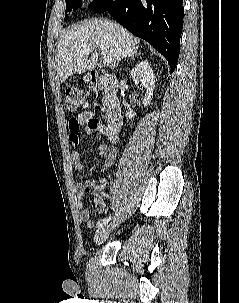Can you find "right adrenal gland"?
Returning <instances> with one entry per match:
<instances>
[{"instance_id":"1","label":"right adrenal gland","mask_w":239,"mask_h":303,"mask_svg":"<svg viewBox=\"0 0 239 303\" xmlns=\"http://www.w3.org/2000/svg\"><path fill=\"white\" fill-rule=\"evenodd\" d=\"M138 55H140V53H138ZM132 59H134V56L132 57Z\"/></svg>"}]
</instances>
